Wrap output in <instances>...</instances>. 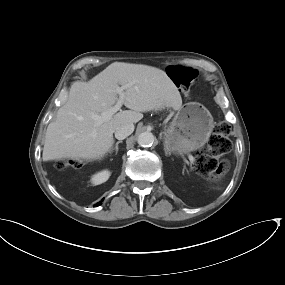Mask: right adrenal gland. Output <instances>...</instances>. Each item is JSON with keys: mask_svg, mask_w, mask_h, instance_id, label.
<instances>
[{"mask_svg": "<svg viewBox=\"0 0 285 285\" xmlns=\"http://www.w3.org/2000/svg\"><path fill=\"white\" fill-rule=\"evenodd\" d=\"M123 141H117L116 142V144H115V146L114 147H112L111 148V150H110V153H113V151L115 150V155H117V153H118V145L120 144V143H122Z\"/></svg>", "mask_w": 285, "mask_h": 285, "instance_id": "2a0ac1e0", "label": "right adrenal gland"}]
</instances>
